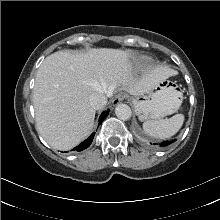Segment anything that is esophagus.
Listing matches in <instances>:
<instances>
[{"mask_svg": "<svg viewBox=\"0 0 220 220\" xmlns=\"http://www.w3.org/2000/svg\"><path fill=\"white\" fill-rule=\"evenodd\" d=\"M125 94L123 93H119L115 96V98L113 99V105H118L120 102H122L125 99Z\"/></svg>", "mask_w": 220, "mask_h": 220, "instance_id": "34e87169", "label": "esophagus"}]
</instances>
